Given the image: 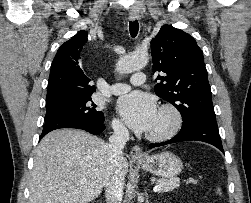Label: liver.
<instances>
[{
    "label": "liver",
    "mask_w": 251,
    "mask_h": 203,
    "mask_svg": "<svg viewBox=\"0 0 251 203\" xmlns=\"http://www.w3.org/2000/svg\"><path fill=\"white\" fill-rule=\"evenodd\" d=\"M108 146L81 130L47 134L35 150L29 203H89L96 199L111 170ZM122 172L125 178L126 158Z\"/></svg>",
    "instance_id": "1"
}]
</instances>
